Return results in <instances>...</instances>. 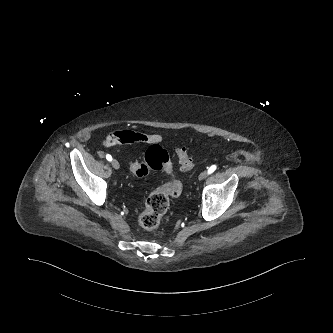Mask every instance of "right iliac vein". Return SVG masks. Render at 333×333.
<instances>
[{"instance_id":"obj_1","label":"right iliac vein","mask_w":333,"mask_h":333,"mask_svg":"<svg viewBox=\"0 0 333 333\" xmlns=\"http://www.w3.org/2000/svg\"><path fill=\"white\" fill-rule=\"evenodd\" d=\"M112 166L114 169L118 170L120 168V164L116 159L112 160Z\"/></svg>"}]
</instances>
